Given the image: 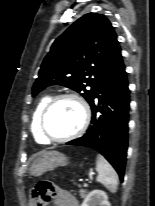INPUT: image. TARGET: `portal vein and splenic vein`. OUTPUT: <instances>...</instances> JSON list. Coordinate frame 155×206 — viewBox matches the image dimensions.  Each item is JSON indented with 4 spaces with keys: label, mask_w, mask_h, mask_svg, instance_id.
<instances>
[{
    "label": "portal vein and splenic vein",
    "mask_w": 155,
    "mask_h": 206,
    "mask_svg": "<svg viewBox=\"0 0 155 206\" xmlns=\"http://www.w3.org/2000/svg\"><path fill=\"white\" fill-rule=\"evenodd\" d=\"M84 187H88V184H87V183H84Z\"/></svg>",
    "instance_id": "portal-vein-and-splenic-vein-1"
}]
</instances>
